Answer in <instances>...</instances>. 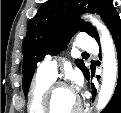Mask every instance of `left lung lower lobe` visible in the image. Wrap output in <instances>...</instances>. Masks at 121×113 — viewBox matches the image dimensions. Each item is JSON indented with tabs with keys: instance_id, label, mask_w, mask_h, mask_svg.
Wrapping results in <instances>:
<instances>
[{
	"instance_id": "left-lung-lower-lobe-1",
	"label": "left lung lower lobe",
	"mask_w": 121,
	"mask_h": 113,
	"mask_svg": "<svg viewBox=\"0 0 121 113\" xmlns=\"http://www.w3.org/2000/svg\"><path fill=\"white\" fill-rule=\"evenodd\" d=\"M110 32L113 36L114 43L117 49V56H118V81L117 86L114 92V95L111 101L107 104L105 109L101 113H121V20L118 16L117 19L114 21ZM89 80V78H88ZM92 94L93 99L96 95V89L92 85Z\"/></svg>"
}]
</instances>
